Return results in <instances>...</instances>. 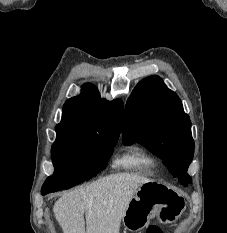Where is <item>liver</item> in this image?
<instances>
[{
	"mask_svg": "<svg viewBox=\"0 0 227 233\" xmlns=\"http://www.w3.org/2000/svg\"><path fill=\"white\" fill-rule=\"evenodd\" d=\"M149 182L152 180L133 173L105 176L63 194L54 204L55 217L63 233H119L136 191Z\"/></svg>",
	"mask_w": 227,
	"mask_h": 233,
	"instance_id": "1",
	"label": "liver"
}]
</instances>
